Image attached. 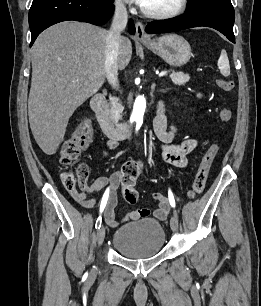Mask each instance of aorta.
<instances>
[{
    "instance_id": "762f6f07",
    "label": "aorta",
    "mask_w": 261,
    "mask_h": 306,
    "mask_svg": "<svg viewBox=\"0 0 261 306\" xmlns=\"http://www.w3.org/2000/svg\"><path fill=\"white\" fill-rule=\"evenodd\" d=\"M145 109H146L145 98L142 96L136 97L131 114V121L136 123H142Z\"/></svg>"
}]
</instances>
